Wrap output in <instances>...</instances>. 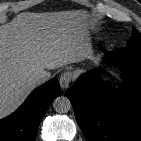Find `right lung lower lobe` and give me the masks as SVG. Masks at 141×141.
Here are the masks:
<instances>
[{
  "label": "right lung lower lobe",
  "instance_id": "obj_1",
  "mask_svg": "<svg viewBox=\"0 0 141 141\" xmlns=\"http://www.w3.org/2000/svg\"><path fill=\"white\" fill-rule=\"evenodd\" d=\"M60 92L55 78L36 88L14 113L0 120V141H34L44 114Z\"/></svg>",
  "mask_w": 141,
  "mask_h": 141
}]
</instances>
